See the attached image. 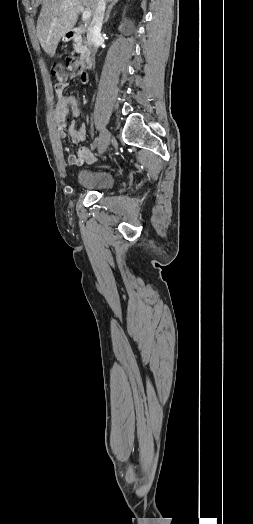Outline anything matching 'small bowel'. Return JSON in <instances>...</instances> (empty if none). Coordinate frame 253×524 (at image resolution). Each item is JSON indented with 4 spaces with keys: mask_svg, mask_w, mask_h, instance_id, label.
<instances>
[{
    "mask_svg": "<svg viewBox=\"0 0 253 524\" xmlns=\"http://www.w3.org/2000/svg\"><path fill=\"white\" fill-rule=\"evenodd\" d=\"M63 90H57V102L53 109V118L57 127V134L60 139L70 136L73 143H81L86 139V126H76L74 122L67 125L66 121L69 115L78 117L80 107L78 101L73 95H65ZM68 162L74 166H81L84 163L91 164L96 161L94 154L88 146H81L76 154H68Z\"/></svg>",
    "mask_w": 253,
    "mask_h": 524,
    "instance_id": "obj_1",
    "label": "small bowel"
}]
</instances>
